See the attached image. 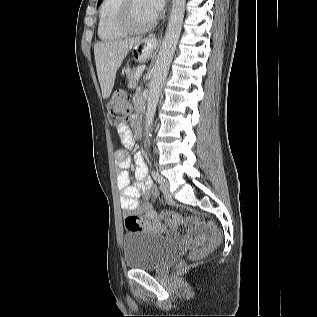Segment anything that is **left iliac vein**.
Instances as JSON below:
<instances>
[{"label": "left iliac vein", "instance_id": "1", "mask_svg": "<svg viewBox=\"0 0 317 317\" xmlns=\"http://www.w3.org/2000/svg\"><path fill=\"white\" fill-rule=\"evenodd\" d=\"M160 189L166 198H172V194L169 190V182L166 180H162L160 183Z\"/></svg>", "mask_w": 317, "mask_h": 317}]
</instances>
